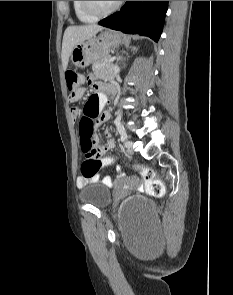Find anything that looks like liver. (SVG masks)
Instances as JSON below:
<instances>
[{
    "instance_id": "1",
    "label": "liver",
    "mask_w": 233,
    "mask_h": 295,
    "mask_svg": "<svg viewBox=\"0 0 233 295\" xmlns=\"http://www.w3.org/2000/svg\"><path fill=\"white\" fill-rule=\"evenodd\" d=\"M103 29L102 26L96 24L90 25H81V26H69L63 36L62 42V66L63 70L66 71L69 57L71 55L72 49L80 42L87 40L94 35H96L99 31Z\"/></svg>"
}]
</instances>
